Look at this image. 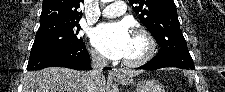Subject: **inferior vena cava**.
Here are the masks:
<instances>
[{
  "label": "inferior vena cava",
  "instance_id": "602c4592",
  "mask_svg": "<svg viewBox=\"0 0 225 92\" xmlns=\"http://www.w3.org/2000/svg\"><path fill=\"white\" fill-rule=\"evenodd\" d=\"M91 65L93 69L89 71L88 84L91 86V91L95 92L97 91L96 85L102 75V69L108 65V61L97 52L91 51Z\"/></svg>",
  "mask_w": 225,
  "mask_h": 92
}]
</instances>
